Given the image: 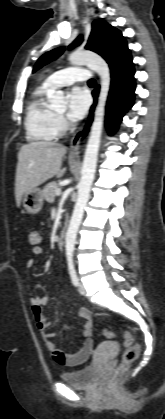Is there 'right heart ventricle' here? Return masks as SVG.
<instances>
[{
  "label": "right heart ventricle",
  "mask_w": 165,
  "mask_h": 419,
  "mask_svg": "<svg viewBox=\"0 0 165 419\" xmlns=\"http://www.w3.org/2000/svg\"><path fill=\"white\" fill-rule=\"evenodd\" d=\"M51 88L44 83L31 94L26 108L25 130L31 141H52L59 135L56 114L46 101Z\"/></svg>",
  "instance_id": "right-heart-ventricle-1"
}]
</instances>
